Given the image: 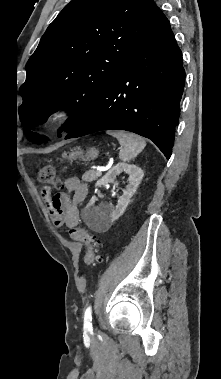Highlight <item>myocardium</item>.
I'll return each mask as SVG.
<instances>
[{"label": "myocardium", "mask_w": 221, "mask_h": 379, "mask_svg": "<svg viewBox=\"0 0 221 379\" xmlns=\"http://www.w3.org/2000/svg\"><path fill=\"white\" fill-rule=\"evenodd\" d=\"M70 117V110L65 106H56L48 111L45 123L49 127H58L64 124Z\"/></svg>", "instance_id": "myocardium-1"}]
</instances>
